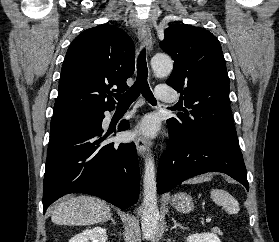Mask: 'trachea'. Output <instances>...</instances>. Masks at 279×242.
Instances as JSON below:
<instances>
[{
  "mask_svg": "<svg viewBox=\"0 0 279 242\" xmlns=\"http://www.w3.org/2000/svg\"><path fill=\"white\" fill-rule=\"evenodd\" d=\"M146 65V52L143 49L137 60V77L131 88L123 94L115 95L119 106L131 105L140 94L151 104L156 105V100L150 90Z\"/></svg>",
  "mask_w": 279,
  "mask_h": 242,
  "instance_id": "1",
  "label": "trachea"
}]
</instances>
